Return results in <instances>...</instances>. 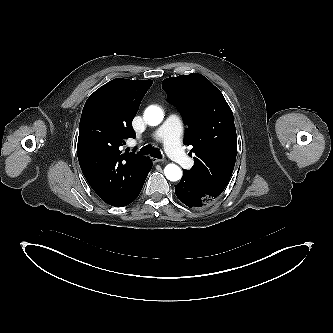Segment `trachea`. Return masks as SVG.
I'll return each instance as SVG.
<instances>
[{"label":"trachea","mask_w":333,"mask_h":333,"mask_svg":"<svg viewBox=\"0 0 333 333\" xmlns=\"http://www.w3.org/2000/svg\"><path fill=\"white\" fill-rule=\"evenodd\" d=\"M138 154H141V155H149L152 156V157H155V158H162V154L159 150L153 148L152 146L150 145H146L144 147H142L139 151H138Z\"/></svg>","instance_id":"obj_1"}]
</instances>
